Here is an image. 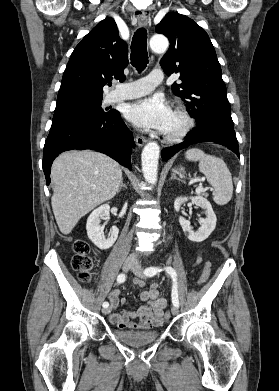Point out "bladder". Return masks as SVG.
<instances>
[{"label": "bladder", "instance_id": "1", "mask_svg": "<svg viewBox=\"0 0 279 391\" xmlns=\"http://www.w3.org/2000/svg\"><path fill=\"white\" fill-rule=\"evenodd\" d=\"M112 334L119 341L133 347H140L155 342L159 335L156 331H128L120 329L112 330Z\"/></svg>", "mask_w": 279, "mask_h": 391}]
</instances>
